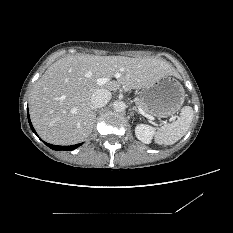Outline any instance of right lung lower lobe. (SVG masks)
Segmentation results:
<instances>
[{"instance_id":"98d812e1","label":"right lung lower lobe","mask_w":233,"mask_h":233,"mask_svg":"<svg viewBox=\"0 0 233 233\" xmlns=\"http://www.w3.org/2000/svg\"><path fill=\"white\" fill-rule=\"evenodd\" d=\"M28 121H29V125H30L32 131L36 134V131L34 130V128L32 126V123H31V120H30V117H29V112H28ZM44 143L53 150H66V151L74 150V149L78 148L80 145L83 144V143H79V144L71 145V146H57V145H52V144H49V143H46V142H44Z\"/></svg>"}]
</instances>
